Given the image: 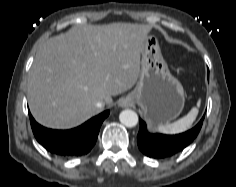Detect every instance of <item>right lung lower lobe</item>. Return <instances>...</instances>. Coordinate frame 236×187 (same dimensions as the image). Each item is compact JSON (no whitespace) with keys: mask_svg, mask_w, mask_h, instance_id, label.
Returning a JSON list of instances; mask_svg holds the SVG:
<instances>
[{"mask_svg":"<svg viewBox=\"0 0 236 187\" xmlns=\"http://www.w3.org/2000/svg\"><path fill=\"white\" fill-rule=\"evenodd\" d=\"M108 115L109 111H104L70 130L48 129L38 124L31 114L29 117L35 138L47 151L62 157H78L92 149L101 124Z\"/></svg>","mask_w":236,"mask_h":187,"instance_id":"obj_1","label":"right lung lower lobe"}]
</instances>
